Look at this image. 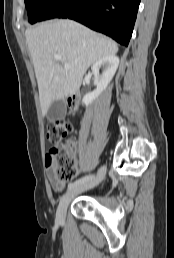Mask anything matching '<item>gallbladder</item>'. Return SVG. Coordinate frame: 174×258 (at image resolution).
Masks as SVG:
<instances>
[{"mask_svg": "<svg viewBox=\"0 0 174 258\" xmlns=\"http://www.w3.org/2000/svg\"><path fill=\"white\" fill-rule=\"evenodd\" d=\"M66 108L61 100H54L49 106L46 117L48 120H60L65 116Z\"/></svg>", "mask_w": 174, "mask_h": 258, "instance_id": "1", "label": "gallbladder"}]
</instances>
